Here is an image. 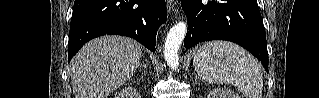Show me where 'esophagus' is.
I'll list each match as a JSON object with an SVG mask.
<instances>
[{"mask_svg": "<svg viewBox=\"0 0 319 98\" xmlns=\"http://www.w3.org/2000/svg\"><path fill=\"white\" fill-rule=\"evenodd\" d=\"M167 2H168V4H170V5L173 4V1H172V0H168Z\"/></svg>", "mask_w": 319, "mask_h": 98, "instance_id": "34e87169", "label": "esophagus"}]
</instances>
